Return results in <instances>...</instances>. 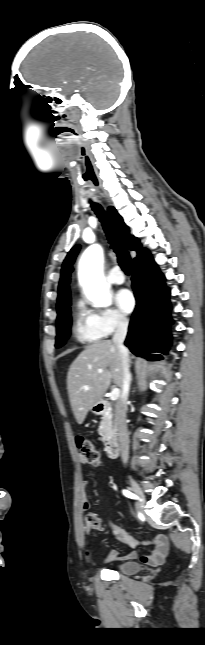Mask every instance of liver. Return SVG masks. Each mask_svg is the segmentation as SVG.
<instances>
[{"instance_id": "1", "label": "liver", "mask_w": 205, "mask_h": 645, "mask_svg": "<svg viewBox=\"0 0 205 645\" xmlns=\"http://www.w3.org/2000/svg\"><path fill=\"white\" fill-rule=\"evenodd\" d=\"M122 378L121 356L113 341L95 342L78 355L67 374L69 400L78 424L84 422L112 382L122 386Z\"/></svg>"}]
</instances>
